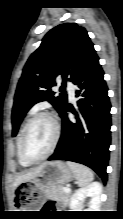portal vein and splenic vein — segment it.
Returning a JSON list of instances; mask_svg holds the SVG:
<instances>
[{
    "label": "portal vein and splenic vein",
    "mask_w": 123,
    "mask_h": 219,
    "mask_svg": "<svg viewBox=\"0 0 123 219\" xmlns=\"http://www.w3.org/2000/svg\"><path fill=\"white\" fill-rule=\"evenodd\" d=\"M63 190H64V192H66V193H70V192H71V189H70L69 187H65Z\"/></svg>",
    "instance_id": "18ae733b"
}]
</instances>
